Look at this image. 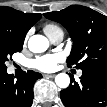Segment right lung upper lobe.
Instances as JSON below:
<instances>
[{
	"label": "right lung upper lobe",
	"mask_w": 107,
	"mask_h": 107,
	"mask_svg": "<svg viewBox=\"0 0 107 107\" xmlns=\"http://www.w3.org/2000/svg\"><path fill=\"white\" fill-rule=\"evenodd\" d=\"M42 17L41 14L24 13L11 7H0V27L16 40H24L28 30Z\"/></svg>",
	"instance_id": "cb5924a9"
}]
</instances>
